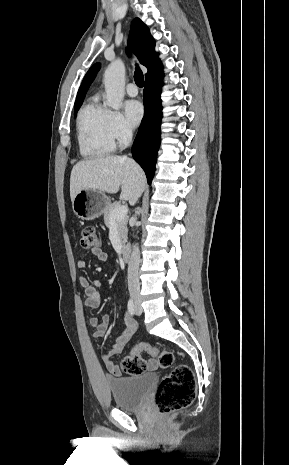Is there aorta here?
Here are the masks:
<instances>
[{
	"label": "aorta",
	"mask_w": 289,
	"mask_h": 465,
	"mask_svg": "<svg viewBox=\"0 0 289 465\" xmlns=\"http://www.w3.org/2000/svg\"><path fill=\"white\" fill-rule=\"evenodd\" d=\"M106 104L114 110L122 106L125 94V65L122 60L112 62L104 73Z\"/></svg>",
	"instance_id": "762f6f07"
}]
</instances>
